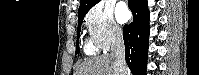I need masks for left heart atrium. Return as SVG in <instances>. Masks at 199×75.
Listing matches in <instances>:
<instances>
[{
	"label": "left heart atrium",
	"instance_id": "1",
	"mask_svg": "<svg viewBox=\"0 0 199 75\" xmlns=\"http://www.w3.org/2000/svg\"><path fill=\"white\" fill-rule=\"evenodd\" d=\"M116 16L119 22L124 23L129 18V12L124 4H120L116 9Z\"/></svg>",
	"mask_w": 199,
	"mask_h": 75
}]
</instances>
